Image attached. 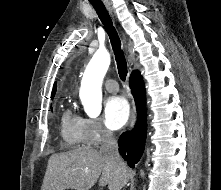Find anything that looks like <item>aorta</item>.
<instances>
[{"instance_id":"762f6f07","label":"aorta","mask_w":221,"mask_h":190,"mask_svg":"<svg viewBox=\"0 0 221 190\" xmlns=\"http://www.w3.org/2000/svg\"><path fill=\"white\" fill-rule=\"evenodd\" d=\"M110 65V54L98 50L87 65L80 88V99L89 117L99 116L102 109V82Z\"/></svg>"}]
</instances>
